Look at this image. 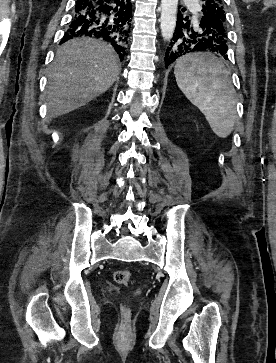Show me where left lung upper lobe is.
Wrapping results in <instances>:
<instances>
[{
  "label": "left lung upper lobe",
  "instance_id": "5c2ea615",
  "mask_svg": "<svg viewBox=\"0 0 276 363\" xmlns=\"http://www.w3.org/2000/svg\"><path fill=\"white\" fill-rule=\"evenodd\" d=\"M201 1L203 8L202 11L210 12L220 23L222 29L221 35L227 43L226 15L222 0H201Z\"/></svg>",
  "mask_w": 276,
  "mask_h": 363
}]
</instances>
